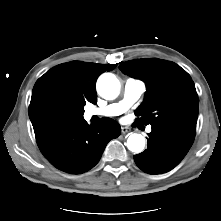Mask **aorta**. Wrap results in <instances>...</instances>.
<instances>
[{"instance_id": "obj_1", "label": "aorta", "mask_w": 221, "mask_h": 221, "mask_svg": "<svg viewBox=\"0 0 221 221\" xmlns=\"http://www.w3.org/2000/svg\"><path fill=\"white\" fill-rule=\"evenodd\" d=\"M97 90L100 95L108 100L119 95L120 82L112 73L102 74L97 81ZM127 147L131 152L140 153L145 147V138L141 134H131L127 139Z\"/></svg>"}]
</instances>
